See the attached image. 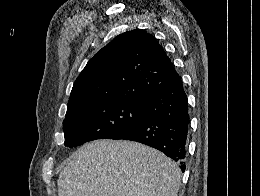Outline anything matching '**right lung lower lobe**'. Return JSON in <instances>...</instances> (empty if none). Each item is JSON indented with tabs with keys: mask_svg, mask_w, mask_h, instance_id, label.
<instances>
[{
	"mask_svg": "<svg viewBox=\"0 0 260 196\" xmlns=\"http://www.w3.org/2000/svg\"><path fill=\"white\" fill-rule=\"evenodd\" d=\"M148 117L128 131L116 136L156 148L186 169V147L190 117L181 78L162 91L139 101Z\"/></svg>",
	"mask_w": 260,
	"mask_h": 196,
	"instance_id": "right-lung-lower-lobe-1",
	"label": "right lung lower lobe"
}]
</instances>
